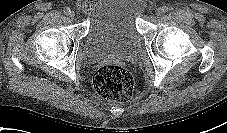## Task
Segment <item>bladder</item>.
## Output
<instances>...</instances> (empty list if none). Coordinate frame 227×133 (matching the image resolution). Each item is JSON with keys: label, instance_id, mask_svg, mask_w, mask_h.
Here are the masks:
<instances>
[{"label": "bladder", "instance_id": "obj_1", "mask_svg": "<svg viewBox=\"0 0 227 133\" xmlns=\"http://www.w3.org/2000/svg\"><path fill=\"white\" fill-rule=\"evenodd\" d=\"M141 0H101L81 46L82 58L95 62L115 57L133 59L138 49L136 18Z\"/></svg>", "mask_w": 227, "mask_h": 133}]
</instances>
